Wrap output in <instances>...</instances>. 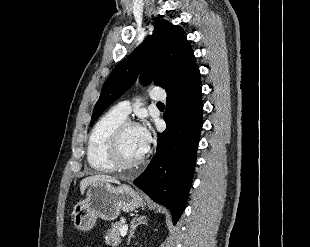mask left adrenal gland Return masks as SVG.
Returning a JSON list of instances; mask_svg holds the SVG:
<instances>
[{
    "instance_id": "left-adrenal-gland-1",
    "label": "left adrenal gland",
    "mask_w": 310,
    "mask_h": 247,
    "mask_svg": "<svg viewBox=\"0 0 310 247\" xmlns=\"http://www.w3.org/2000/svg\"><path fill=\"white\" fill-rule=\"evenodd\" d=\"M141 224H147V219H146L145 216H140L139 218L132 220L131 226H130L131 229H130V233H129V236H128L127 245L130 244L131 238L134 236V231Z\"/></svg>"
}]
</instances>
